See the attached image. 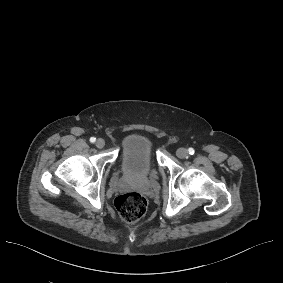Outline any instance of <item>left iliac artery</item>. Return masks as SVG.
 <instances>
[{"label":"left iliac artery","mask_w":283,"mask_h":283,"mask_svg":"<svg viewBox=\"0 0 283 283\" xmlns=\"http://www.w3.org/2000/svg\"><path fill=\"white\" fill-rule=\"evenodd\" d=\"M188 152H189L190 155H193L194 154V149L193 148H189Z\"/></svg>","instance_id":"left-iliac-artery-1"}]
</instances>
